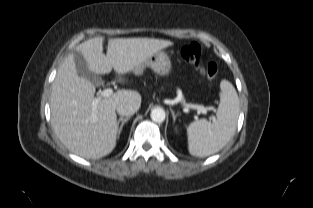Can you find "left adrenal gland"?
I'll return each instance as SVG.
<instances>
[{"label": "left adrenal gland", "instance_id": "a2214340", "mask_svg": "<svg viewBox=\"0 0 313 208\" xmlns=\"http://www.w3.org/2000/svg\"><path fill=\"white\" fill-rule=\"evenodd\" d=\"M170 111H171V114H172V117H173V121H175L176 117L179 115V113L175 114V112L172 109H170Z\"/></svg>", "mask_w": 313, "mask_h": 208}]
</instances>
